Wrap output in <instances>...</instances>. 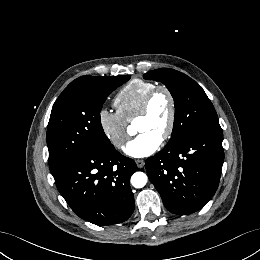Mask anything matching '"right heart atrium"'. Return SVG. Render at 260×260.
Returning <instances> with one entry per match:
<instances>
[{
	"label": "right heart atrium",
	"mask_w": 260,
	"mask_h": 260,
	"mask_svg": "<svg viewBox=\"0 0 260 260\" xmlns=\"http://www.w3.org/2000/svg\"><path fill=\"white\" fill-rule=\"evenodd\" d=\"M98 124L110 144L122 149L128 139V122L117 111L102 108L98 112Z\"/></svg>",
	"instance_id": "d8ad5b80"
}]
</instances>
